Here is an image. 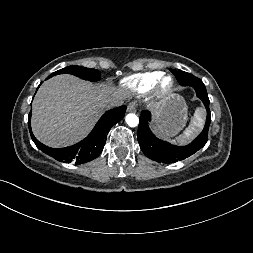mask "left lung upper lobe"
<instances>
[{
    "mask_svg": "<svg viewBox=\"0 0 253 253\" xmlns=\"http://www.w3.org/2000/svg\"><path fill=\"white\" fill-rule=\"evenodd\" d=\"M170 71L175 75L176 79L179 82H183L185 80H188L190 77L194 76V75L184 72L182 70L176 71V70L171 69Z\"/></svg>",
    "mask_w": 253,
    "mask_h": 253,
    "instance_id": "1",
    "label": "left lung upper lobe"
}]
</instances>
